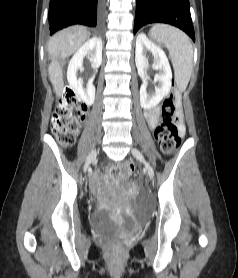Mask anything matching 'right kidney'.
<instances>
[{
    "label": "right kidney",
    "mask_w": 238,
    "mask_h": 278,
    "mask_svg": "<svg viewBox=\"0 0 238 278\" xmlns=\"http://www.w3.org/2000/svg\"><path fill=\"white\" fill-rule=\"evenodd\" d=\"M87 55H90L92 68L97 70L102 63L101 39L93 37L75 52L68 65L67 80L82 101L87 105H92L95 99L94 76L88 81L86 88L83 87L81 79L76 76L77 71L83 68V58Z\"/></svg>",
    "instance_id": "ca27d5eb"
}]
</instances>
